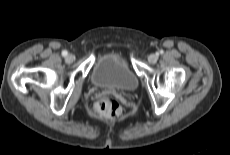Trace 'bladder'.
I'll use <instances>...</instances> for the list:
<instances>
[{"label":"bladder","instance_id":"bladder-1","mask_svg":"<svg viewBox=\"0 0 230 155\" xmlns=\"http://www.w3.org/2000/svg\"><path fill=\"white\" fill-rule=\"evenodd\" d=\"M91 81L97 87L131 92L138 87V77L120 56L107 53L98 58L91 72Z\"/></svg>","mask_w":230,"mask_h":155}]
</instances>
